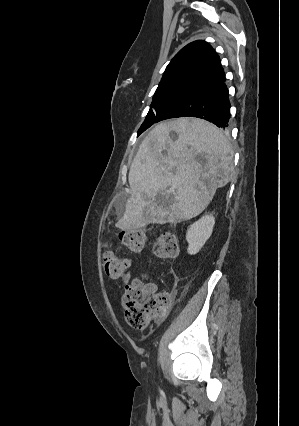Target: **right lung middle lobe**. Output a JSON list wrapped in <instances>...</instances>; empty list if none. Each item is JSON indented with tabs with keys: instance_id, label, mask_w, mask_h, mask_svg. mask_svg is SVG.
I'll use <instances>...</instances> for the list:
<instances>
[{
	"instance_id": "1",
	"label": "right lung middle lobe",
	"mask_w": 299,
	"mask_h": 426,
	"mask_svg": "<svg viewBox=\"0 0 299 426\" xmlns=\"http://www.w3.org/2000/svg\"><path fill=\"white\" fill-rule=\"evenodd\" d=\"M195 88L196 86L190 84L159 85L153 96L152 105L147 117L138 130V135L158 122L167 108Z\"/></svg>"
}]
</instances>
